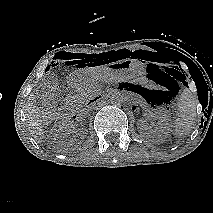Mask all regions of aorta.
Segmentation results:
<instances>
[{
    "label": "aorta",
    "instance_id": "obj_1",
    "mask_svg": "<svg viewBox=\"0 0 213 213\" xmlns=\"http://www.w3.org/2000/svg\"><path fill=\"white\" fill-rule=\"evenodd\" d=\"M108 101L113 106H120L123 103V96L119 92H114L110 95Z\"/></svg>",
    "mask_w": 213,
    "mask_h": 213
}]
</instances>
